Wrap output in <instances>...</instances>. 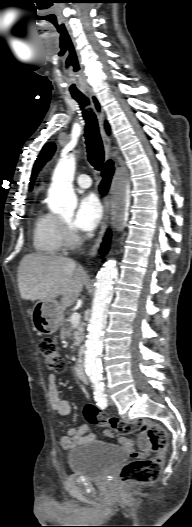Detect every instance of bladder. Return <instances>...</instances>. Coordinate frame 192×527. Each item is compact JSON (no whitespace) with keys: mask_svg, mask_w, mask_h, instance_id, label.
Instances as JSON below:
<instances>
[{"mask_svg":"<svg viewBox=\"0 0 192 527\" xmlns=\"http://www.w3.org/2000/svg\"><path fill=\"white\" fill-rule=\"evenodd\" d=\"M127 458L123 449L102 441H91L70 453L71 471L89 480L104 479Z\"/></svg>","mask_w":192,"mask_h":527,"instance_id":"obj_1","label":"bladder"}]
</instances>
